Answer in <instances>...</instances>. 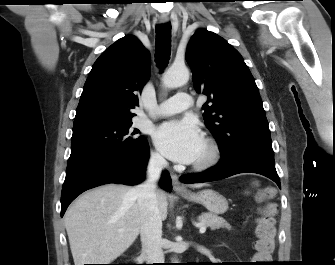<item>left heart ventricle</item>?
Returning <instances> with one entry per match:
<instances>
[{
    "label": "left heart ventricle",
    "mask_w": 335,
    "mask_h": 265,
    "mask_svg": "<svg viewBox=\"0 0 335 265\" xmlns=\"http://www.w3.org/2000/svg\"><path fill=\"white\" fill-rule=\"evenodd\" d=\"M207 154H208L207 146L205 145V143H203V146H202V148H201V151H200V153H199L197 159L195 160V162L204 159V158L207 156Z\"/></svg>",
    "instance_id": "1"
}]
</instances>
